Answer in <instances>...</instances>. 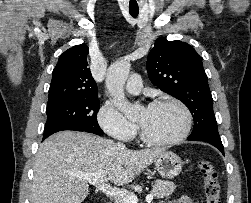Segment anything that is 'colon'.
I'll return each instance as SVG.
<instances>
[{"label":"colon","mask_w":251,"mask_h":203,"mask_svg":"<svg viewBox=\"0 0 251 203\" xmlns=\"http://www.w3.org/2000/svg\"><path fill=\"white\" fill-rule=\"evenodd\" d=\"M198 168L203 176L205 203H221L218 173L214 165L210 161L201 160L198 163Z\"/></svg>","instance_id":"1"}]
</instances>
